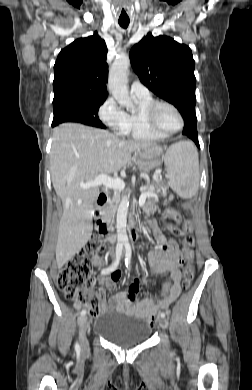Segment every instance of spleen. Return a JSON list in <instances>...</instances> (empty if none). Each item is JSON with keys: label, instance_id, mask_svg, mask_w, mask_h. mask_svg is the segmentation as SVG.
Masks as SVG:
<instances>
[{"label": "spleen", "instance_id": "3e777b00", "mask_svg": "<svg viewBox=\"0 0 252 390\" xmlns=\"http://www.w3.org/2000/svg\"><path fill=\"white\" fill-rule=\"evenodd\" d=\"M164 162L170 187L181 198H192L199 187V160L191 142L173 144L167 151Z\"/></svg>", "mask_w": 252, "mask_h": 390}]
</instances>
